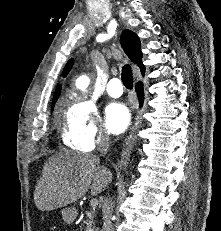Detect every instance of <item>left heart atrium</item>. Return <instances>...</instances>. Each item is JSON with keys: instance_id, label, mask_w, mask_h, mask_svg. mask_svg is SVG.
<instances>
[{"instance_id": "39dd6f15", "label": "left heart atrium", "mask_w": 221, "mask_h": 231, "mask_svg": "<svg viewBox=\"0 0 221 231\" xmlns=\"http://www.w3.org/2000/svg\"><path fill=\"white\" fill-rule=\"evenodd\" d=\"M130 121V113L125 105L119 102L109 104L105 109L107 129L118 134L125 130Z\"/></svg>"}]
</instances>
